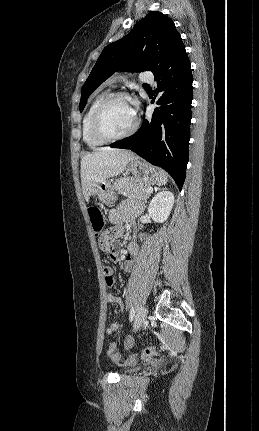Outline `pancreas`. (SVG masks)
<instances>
[{
  "label": "pancreas",
  "mask_w": 259,
  "mask_h": 431,
  "mask_svg": "<svg viewBox=\"0 0 259 431\" xmlns=\"http://www.w3.org/2000/svg\"><path fill=\"white\" fill-rule=\"evenodd\" d=\"M149 187L142 180L133 177L120 178L114 183V189L118 194L139 200H146L150 196L147 192Z\"/></svg>",
  "instance_id": "pancreas-1"
}]
</instances>
